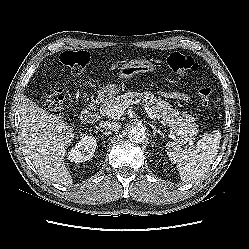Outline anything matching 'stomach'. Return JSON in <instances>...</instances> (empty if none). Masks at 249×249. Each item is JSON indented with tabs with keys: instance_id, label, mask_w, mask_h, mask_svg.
<instances>
[{
	"instance_id": "0dacf381",
	"label": "stomach",
	"mask_w": 249,
	"mask_h": 249,
	"mask_svg": "<svg viewBox=\"0 0 249 249\" xmlns=\"http://www.w3.org/2000/svg\"><path fill=\"white\" fill-rule=\"evenodd\" d=\"M154 70H156V65L150 60L134 59L125 62L119 68L117 81L110 82L106 86H103V88L99 90V96L104 98H110L119 92V85L117 83H120L123 80L130 79L137 74L149 73L153 72Z\"/></svg>"
}]
</instances>
